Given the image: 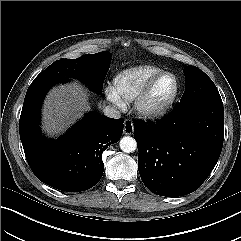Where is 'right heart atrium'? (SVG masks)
Listing matches in <instances>:
<instances>
[{"label":"right heart atrium","instance_id":"1","mask_svg":"<svg viewBox=\"0 0 241 241\" xmlns=\"http://www.w3.org/2000/svg\"><path fill=\"white\" fill-rule=\"evenodd\" d=\"M105 95L107 100L114 104L115 106L122 107L124 102L120 98V96L117 94V92L114 90L112 86H108L105 88Z\"/></svg>","mask_w":241,"mask_h":241}]
</instances>
